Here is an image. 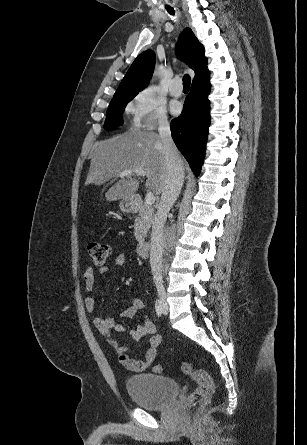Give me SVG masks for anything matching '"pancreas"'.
<instances>
[{
	"label": "pancreas",
	"mask_w": 307,
	"mask_h": 445,
	"mask_svg": "<svg viewBox=\"0 0 307 445\" xmlns=\"http://www.w3.org/2000/svg\"><path fill=\"white\" fill-rule=\"evenodd\" d=\"M154 212L155 210L150 204H146V202L140 204L133 225L135 239L138 243H144V237H146L154 220Z\"/></svg>",
	"instance_id": "cf45deb5"
}]
</instances>
